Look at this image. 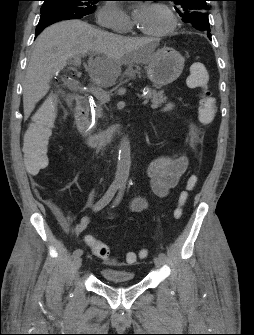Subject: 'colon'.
Returning a JSON list of instances; mask_svg holds the SVG:
<instances>
[{
    "instance_id": "obj_1",
    "label": "colon",
    "mask_w": 254,
    "mask_h": 335,
    "mask_svg": "<svg viewBox=\"0 0 254 335\" xmlns=\"http://www.w3.org/2000/svg\"><path fill=\"white\" fill-rule=\"evenodd\" d=\"M188 85L202 91L199 105L198 116L203 125H209L214 120L217 104L214 96L209 90V73L201 63H194L190 66V75L188 77ZM57 113V104L54 101H46L35 113L33 121L26 129L22 152V170L23 172H35L34 176L38 177V172H46L49 157L48 138L54 125ZM197 179L191 176L187 182V189L182 191L178 197V204L174 211V217L180 220L184 214V206L188 202L190 191L195 187ZM88 244L93 252L102 259L110 260V251L106 244L94 239H88ZM146 251L140 253V257H144ZM137 254L128 252L125 256V263L132 265L137 261Z\"/></svg>"
}]
</instances>
